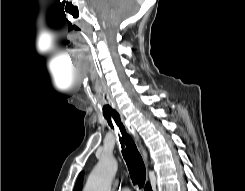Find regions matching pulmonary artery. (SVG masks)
Returning a JSON list of instances; mask_svg holds the SVG:
<instances>
[{
  "instance_id": "1",
  "label": "pulmonary artery",
  "mask_w": 245,
  "mask_h": 191,
  "mask_svg": "<svg viewBox=\"0 0 245 191\" xmlns=\"http://www.w3.org/2000/svg\"><path fill=\"white\" fill-rule=\"evenodd\" d=\"M121 191H131L129 188H123Z\"/></svg>"
}]
</instances>
